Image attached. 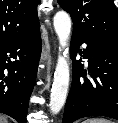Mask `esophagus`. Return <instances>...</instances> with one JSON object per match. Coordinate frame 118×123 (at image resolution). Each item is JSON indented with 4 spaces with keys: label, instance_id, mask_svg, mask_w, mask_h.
I'll return each instance as SVG.
<instances>
[{
    "label": "esophagus",
    "instance_id": "1",
    "mask_svg": "<svg viewBox=\"0 0 118 123\" xmlns=\"http://www.w3.org/2000/svg\"><path fill=\"white\" fill-rule=\"evenodd\" d=\"M43 60H47V53L46 52H44V54H43Z\"/></svg>",
    "mask_w": 118,
    "mask_h": 123
}]
</instances>
